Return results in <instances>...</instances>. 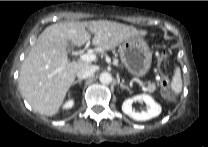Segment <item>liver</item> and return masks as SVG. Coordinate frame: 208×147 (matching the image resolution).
Segmentation results:
<instances>
[{"label":"liver","instance_id":"obj_1","mask_svg":"<svg viewBox=\"0 0 208 147\" xmlns=\"http://www.w3.org/2000/svg\"><path fill=\"white\" fill-rule=\"evenodd\" d=\"M94 34L92 44L105 51L146 34L133 26L110 21L63 22L48 26L29 50L20 69L19 91L34 111L57 114L77 72L88 62L69 61V43L81 47Z\"/></svg>","mask_w":208,"mask_h":147}]
</instances>
